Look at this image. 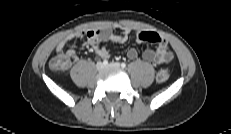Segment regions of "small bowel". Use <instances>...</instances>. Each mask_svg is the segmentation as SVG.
I'll return each instance as SVG.
<instances>
[{
	"mask_svg": "<svg viewBox=\"0 0 231 134\" xmlns=\"http://www.w3.org/2000/svg\"><path fill=\"white\" fill-rule=\"evenodd\" d=\"M119 30L121 31L120 35L115 33L114 27L70 33L58 43L56 53H64V48L67 44L76 38H80L85 40V44L92 49L96 56L106 60L110 57V52L107 47L101 45V42L124 43L133 33V30L127 26H121ZM135 36L139 43L150 42L156 45L155 49H146L143 51L142 58L144 61L160 65L169 63L173 59V53L169 49L167 41L160 34L137 30L135 31ZM64 54L70 61L76 60V52L73 49L67 50ZM138 55V50L135 48H130L127 52V57L131 60L136 59Z\"/></svg>",
	"mask_w": 231,
	"mask_h": 134,
	"instance_id": "1",
	"label": "small bowel"
}]
</instances>
